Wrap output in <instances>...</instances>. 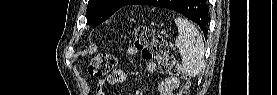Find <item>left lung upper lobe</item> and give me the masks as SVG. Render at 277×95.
<instances>
[{"label":"left lung upper lobe","instance_id":"1","mask_svg":"<svg viewBox=\"0 0 277 95\" xmlns=\"http://www.w3.org/2000/svg\"><path fill=\"white\" fill-rule=\"evenodd\" d=\"M133 0H89L87 6V23L93 28L107 20L114 12L123 6L131 4ZM168 0L167 3H159L157 7L174 5L176 0Z\"/></svg>","mask_w":277,"mask_h":95}]
</instances>
